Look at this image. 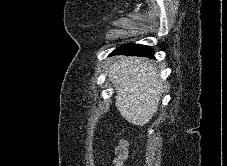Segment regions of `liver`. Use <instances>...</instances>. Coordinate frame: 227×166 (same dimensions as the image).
<instances>
[{"instance_id": "obj_1", "label": "liver", "mask_w": 227, "mask_h": 166, "mask_svg": "<svg viewBox=\"0 0 227 166\" xmlns=\"http://www.w3.org/2000/svg\"><path fill=\"white\" fill-rule=\"evenodd\" d=\"M115 85L116 106L127 121L143 126L158 110L163 83L148 60L141 57H121L108 70Z\"/></svg>"}]
</instances>
